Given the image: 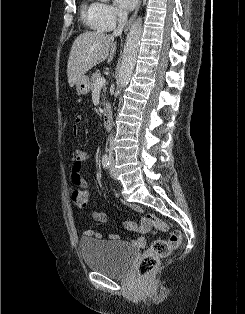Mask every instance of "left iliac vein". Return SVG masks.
<instances>
[{
  "label": "left iliac vein",
  "mask_w": 245,
  "mask_h": 314,
  "mask_svg": "<svg viewBox=\"0 0 245 314\" xmlns=\"http://www.w3.org/2000/svg\"><path fill=\"white\" fill-rule=\"evenodd\" d=\"M110 175L112 178H116L117 174H116V170H115V166H114V162H111L110 164Z\"/></svg>",
  "instance_id": "obj_1"
}]
</instances>
